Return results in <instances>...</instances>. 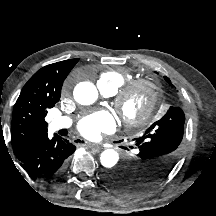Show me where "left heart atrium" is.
<instances>
[{"label": "left heart atrium", "instance_id": "39dd6f15", "mask_svg": "<svg viewBox=\"0 0 216 216\" xmlns=\"http://www.w3.org/2000/svg\"><path fill=\"white\" fill-rule=\"evenodd\" d=\"M116 121L113 115L101 110L83 117L78 123V130L87 138H98L101 133H109L115 129Z\"/></svg>", "mask_w": 216, "mask_h": 216}]
</instances>
